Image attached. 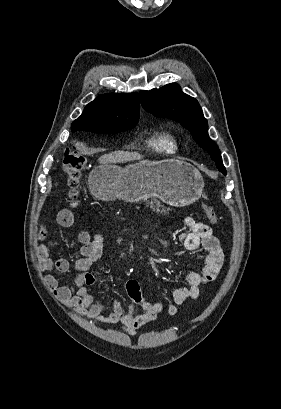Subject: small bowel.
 Listing matches in <instances>:
<instances>
[{"label":"small bowel","mask_w":281,"mask_h":409,"mask_svg":"<svg viewBox=\"0 0 281 409\" xmlns=\"http://www.w3.org/2000/svg\"><path fill=\"white\" fill-rule=\"evenodd\" d=\"M58 223L64 228L74 224V215L69 209H62L58 213ZM190 231L180 235V241L190 251L199 253L203 265L200 272H190L185 276L186 286L176 288L172 299L162 303H150L146 301L141 292L139 283L128 280L126 290L131 303L125 310L120 301L114 300L112 310L104 314V305L97 302L90 292V287L95 285L97 278L89 273V269L99 260L104 245V236L101 234L91 238L87 231L77 234V242L81 246V257L75 263L76 273L70 286H63L53 275H47L45 282L48 288L69 308H74L77 313L89 320L108 325H117V328L128 335H135L139 328L153 323L159 313L166 311L169 315H176L179 306L190 300L198 298L200 286L214 281L223 266L224 252L212 229L205 223L196 221L190 217L185 219ZM44 228V225H40ZM45 232L43 229L40 231ZM41 234L40 238H43ZM52 242L41 244L37 248V257L40 267L45 271L67 272L70 262L66 258L52 259L49 251ZM141 309L140 313L135 308Z\"/></svg>","instance_id":"small-bowel-1"}]
</instances>
